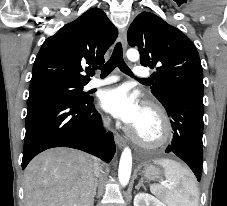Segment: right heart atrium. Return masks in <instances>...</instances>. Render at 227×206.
Masks as SVG:
<instances>
[{
	"instance_id": "obj_1",
	"label": "right heart atrium",
	"mask_w": 227,
	"mask_h": 206,
	"mask_svg": "<svg viewBox=\"0 0 227 206\" xmlns=\"http://www.w3.org/2000/svg\"><path fill=\"white\" fill-rule=\"evenodd\" d=\"M108 120L106 118L103 119V123L106 124Z\"/></svg>"
}]
</instances>
